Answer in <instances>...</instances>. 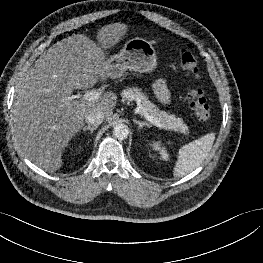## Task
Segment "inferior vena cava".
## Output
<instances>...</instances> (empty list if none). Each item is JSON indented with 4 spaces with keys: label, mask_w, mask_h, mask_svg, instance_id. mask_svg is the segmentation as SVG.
<instances>
[{
    "label": "inferior vena cava",
    "mask_w": 263,
    "mask_h": 263,
    "mask_svg": "<svg viewBox=\"0 0 263 263\" xmlns=\"http://www.w3.org/2000/svg\"><path fill=\"white\" fill-rule=\"evenodd\" d=\"M86 123L93 127L99 126L104 120V113L100 110L94 109L85 116Z\"/></svg>",
    "instance_id": "602c4592"
}]
</instances>
